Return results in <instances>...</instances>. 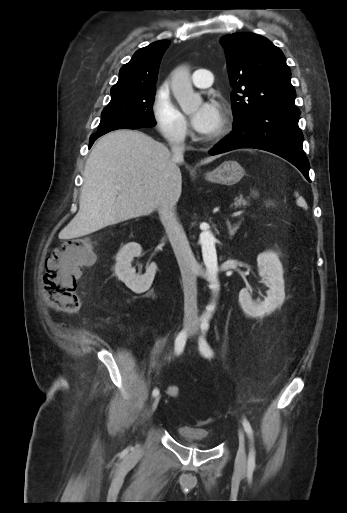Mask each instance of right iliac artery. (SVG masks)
<instances>
[{"instance_id":"82829eb1","label":"right iliac artery","mask_w":347,"mask_h":513,"mask_svg":"<svg viewBox=\"0 0 347 513\" xmlns=\"http://www.w3.org/2000/svg\"><path fill=\"white\" fill-rule=\"evenodd\" d=\"M186 340H187L186 331H181L175 340V353L177 355H179L183 352L185 344H186ZM158 394H159V390H158V388H155L152 391V396L156 397V396H158Z\"/></svg>"}]
</instances>
